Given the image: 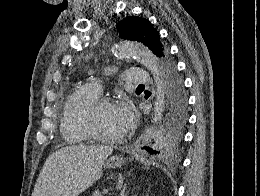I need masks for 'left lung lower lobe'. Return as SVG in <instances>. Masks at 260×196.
<instances>
[{
    "mask_svg": "<svg viewBox=\"0 0 260 196\" xmlns=\"http://www.w3.org/2000/svg\"><path fill=\"white\" fill-rule=\"evenodd\" d=\"M144 149H146V150H147L148 152H150V153H153L152 149L149 148V147H144Z\"/></svg>",
    "mask_w": 260,
    "mask_h": 196,
    "instance_id": "1",
    "label": "left lung lower lobe"
}]
</instances>
